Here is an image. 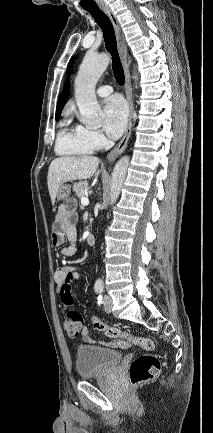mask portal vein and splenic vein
Wrapping results in <instances>:
<instances>
[{
    "label": "portal vein and splenic vein",
    "instance_id": "obj_1",
    "mask_svg": "<svg viewBox=\"0 0 213 433\" xmlns=\"http://www.w3.org/2000/svg\"><path fill=\"white\" fill-rule=\"evenodd\" d=\"M81 204H82L83 206H87V205L89 204V199H88V197L83 196V197L81 198Z\"/></svg>",
    "mask_w": 213,
    "mask_h": 433
}]
</instances>
